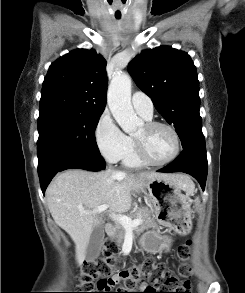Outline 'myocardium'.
<instances>
[{"mask_svg":"<svg viewBox=\"0 0 245 293\" xmlns=\"http://www.w3.org/2000/svg\"><path fill=\"white\" fill-rule=\"evenodd\" d=\"M145 126L146 128H149V129L162 127L169 130L172 133L174 138V151L169 158L163 161H153L146 155L142 144L136 138H134L135 151L140 161L149 166H164L173 162L179 156L181 151V140H180V135L178 131L173 126L167 123L157 122V121L147 122Z\"/></svg>","mask_w":245,"mask_h":293,"instance_id":"f54148a6","label":"myocardium"}]
</instances>
